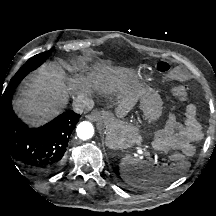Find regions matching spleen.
I'll use <instances>...</instances> for the list:
<instances>
[{"mask_svg":"<svg viewBox=\"0 0 216 216\" xmlns=\"http://www.w3.org/2000/svg\"><path fill=\"white\" fill-rule=\"evenodd\" d=\"M176 164L169 166H154L147 160L131 155L122 157L119 163V172L122 179L131 186L141 189H151L156 184H167L176 179L173 173Z\"/></svg>","mask_w":216,"mask_h":216,"instance_id":"3e777b00","label":"spleen"}]
</instances>
